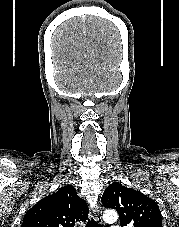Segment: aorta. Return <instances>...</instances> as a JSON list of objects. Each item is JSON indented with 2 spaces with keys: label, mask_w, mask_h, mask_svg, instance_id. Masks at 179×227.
<instances>
[{
  "label": "aorta",
  "mask_w": 179,
  "mask_h": 227,
  "mask_svg": "<svg viewBox=\"0 0 179 227\" xmlns=\"http://www.w3.org/2000/svg\"><path fill=\"white\" fill-rule=\"evenodd\" d=\"M103 219L108 223H113L117 221L118 214L114 210H106L103 214Z\"/></svg>",
  "instance_id": "1"
}]
</instances>
